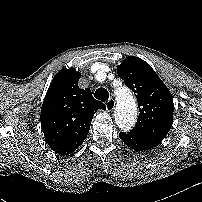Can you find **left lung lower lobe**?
Segmentation results:
<instances>
[{
	"label": "left lung lower lobe",
	"mask_w": 202,
	"mask_h": 202,
	"mask_svg": "<svg viewBox=\"0 0 202 202\" xmlns=\"http://www.w3.org/2000/svg\"><path fill=\"white\" fill-rule=\"evenodd\" d=\"M119 137L127 144L128 147L137 151L149 150L156 147L162 141L158 138L135 135L132 132H120Z\"/></svg>",
	"instance_id": "0a47b994"
}]
</instances>
